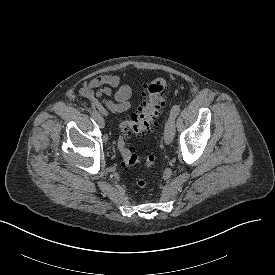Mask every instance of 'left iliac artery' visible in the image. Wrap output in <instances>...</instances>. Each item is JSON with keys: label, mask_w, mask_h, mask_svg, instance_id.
<instances>
[{"label": "left iliac artery", "mask_w": 275, "mask_h": 275, "mask_svg": "<svg viewBox=\"0 0 275 275\" xmlns=\"http://www.w3.org/2000/svg\"><path fill=\"white\" fill-rule=\"evenodd\" d=\"M179 113H180V106L175 105L171 109L170 116L176 118L179 115Z\"/></svg>", "instance_id": "obj_1"}]
</instances>
